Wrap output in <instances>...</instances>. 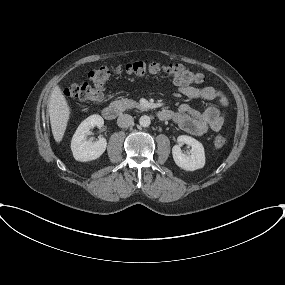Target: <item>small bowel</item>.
<instances>
[{
	"label": "small bowel",
	"mask_w": 285,
	"mask_h": 285,
	"mask_svg": "<svg viewBox=\"0 0 285 285\" xmlns=\"http://www.w3.org/2000/svg\"><path fill=\"white\" fill-rule=\"evenodd\" d=\"M178 90L189 99L217 100L222 108L228 105L224 93L212 86L198 88L181 85ZM168 111L170 115L167 120H173L182 130L195 136H202L208 132L217 133L224 126V113L217 106H210L201 112L182 104L176 111Z\"/></svg>",
	"instance_id": "c3829d8e"
}]
</instances>
